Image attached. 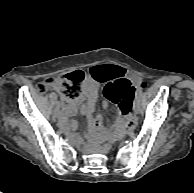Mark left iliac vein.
Returning <instances> with one entry per match:
<instances>
[{
  "label": "left iliac vein",
  "instance_id": "1",
  "mask_svg": "<svg viewBox=\"0 0 194 193\" xmlns=\"http://www.w3.org/2000/svg\"><path fill=\"white\" fill-rule=\"evenodd\" d=\"M134 111H135L136 114H139V113H140V107H139V105L137 104V102H136V105H135V107H134Z\"/></svg>",
  "mask_w": 194,
  "mask_h": 193
}]
</instances>
